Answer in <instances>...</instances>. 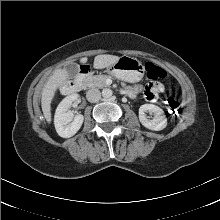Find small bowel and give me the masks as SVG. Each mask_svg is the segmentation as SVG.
<instances>
[{
    "instance_id": "1",
    "label": "small bowel",
    "mask_w": 220,
    "mask_h": 220,
    "mask_svg": "<svg viewBox=\"0 0 220 220\" xmlns=\"http://www.w3.org/2000/svg\"><path fill=\"white\" fill-rule=\"evenodd\" d=\"M164 88L161 84L158 83H150L147 88L145 89V97L149 101H156L159 93L163 92Z\"/></svg>"
}]
</instances>
